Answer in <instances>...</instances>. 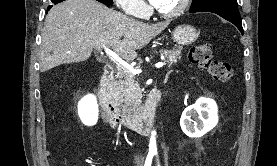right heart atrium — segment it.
Returning a JSON list of instances; mask_svg holds the SVG:
<instances>
[{
  "mask_svg": "<svg viewBox=\"0 0 277 166\" xmlns=\"http://www.w3.org/2000/svg\"><path fill=\"white\" fill-rule=\"evenodd\" d=\"M115 4L125 13L142 16L147 12V6L143 0H114Z\"/></svg>",
  "mask_w": 277,
  "mask_h": 166,
  "instance_id": "1",
  "label": "right heart atrium"
}]
</instances>
